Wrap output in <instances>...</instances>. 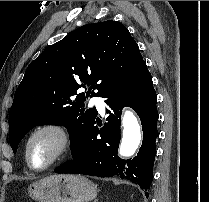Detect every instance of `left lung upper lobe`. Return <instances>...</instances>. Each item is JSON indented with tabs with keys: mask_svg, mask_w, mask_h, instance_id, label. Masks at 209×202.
<instances>
[{
	"mask_svg": "<svg viewBox=\"0 0 209 202\" xmlns=\"http://www.w3.org/2000/svg\"><path fill=\"white\" fill-rule=\"evenodd\" d=\"M143 63L128 29L112 20L81 26L49 46L29 64L15 92L9 114L13 152L37 125H64L71 148L97 114L95 108L85 110L83 101L102 97ZM86 86H90L88 91L77 94ZM74 95L75 100L71 98Z\"/></svg>",
	"mask_w": 209,
	"mask_h": 202,
	"instance_id": "5c2ea615",
	"label": "left lung upper lobe"
}]
</instances>
